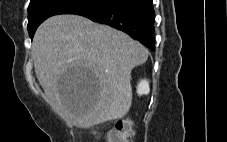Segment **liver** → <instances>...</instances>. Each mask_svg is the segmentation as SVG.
I'll use <instances>...</instances> for the list:
<instances>
[{
  "label": "liver",
  "instance_id": "1",
  "mask_svg": "<svg viewBox=\"0 0 227 142\" xmlns=\"http://www.w3.org/2000/svg\"><path fill=\"white\" fill-rule=\"evenodd\" d=\"M149 51L127 34L79 15L44 21L33 38L37 79L54 109L81 128L124 117L132 104L131 71ZM87 65L89 88H66L63 68Z\"/></svg>",
  "mask_w": 227,
  "mask_h": 142
}]
</instances>
